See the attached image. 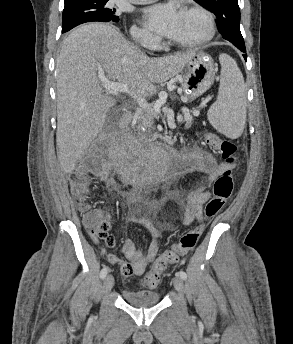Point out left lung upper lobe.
<instances>
[{"label": "left lung upper lobe", "mask_w": 293, "mask_h": 344, "mask_svg": "<svg viewBox=\"0 0 293 344\" xmlns=\"http://www.w3.org/2000/svg\"><path fill=\"white\" fill-rule=\"evenodd\" d=\"M212 11L217 17V26L222 37L235 46L244 45L240 32V9L238 0H194Z\"/></svg>", "instance_id": "5c2ea615"}]
</instances>
